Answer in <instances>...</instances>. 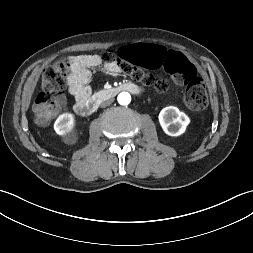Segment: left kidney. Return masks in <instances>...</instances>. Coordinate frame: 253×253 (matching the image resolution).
Segmentation results:
<instances>
[{"instance_id":"5707ae66","label":"left kidney","mask_w":253,"mask_h":253,"mask_svg":"<svg viewBox=\"0 0 253 253\" xmlns=\"http://www.w3.org/2000/svg\"><path fill=\"white\" fill-rule=\"evenodd\" d=\"M158 119L163 131L172 137L182 135L190 123L189 117L175 106L163 108Z\"/></svg>"}]
</instances>
